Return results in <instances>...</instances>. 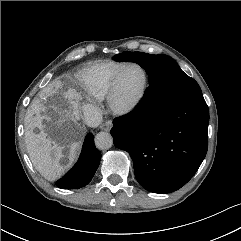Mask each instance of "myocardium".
<instances>
[{
	"instance_id": "f54148a6",
	"label": "myocardium",
	"mask_w": 241,
	"mask_h": 241,
	"mask_svg": "<svg viewBox=\"0 0 241 241\" xmlns=\"http://www.w3.org/2000/svg\"><path fill=\"white\" fill-rule=\"evenodd\" d=\"M129 67H137L143 72L144 83L140 92L133 100L125 104H120L116 100L117 83L120 75L123 73L125 69ZM149 79H150L149 72L144 66L135 62L125 63L113 76L106 95L107 104L111 109V111L116 115L126 116L133 113L135 110H137V108L141 105V103L143 102L147 94V90L149 87Z\"/></svg>"
}]
</instances>
